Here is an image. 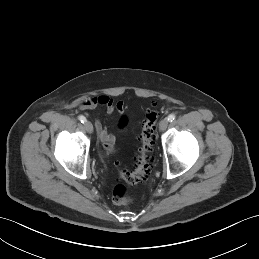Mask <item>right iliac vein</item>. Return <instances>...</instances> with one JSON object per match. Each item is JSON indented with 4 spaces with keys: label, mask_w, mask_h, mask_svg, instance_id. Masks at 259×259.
<instances>
[{
    "label": "right iliac vein",
    "mask_w": 259,
    "mask_h": 259,
    "mask_svg": "<svg viewBox=\"0 0 259 259\" xmlns=\"http://www.w3.org/2000/svg\"><path fill=\"white\" fill-rule=\"evenodd\" d=\"M84 125H85V129L88 133H90V134L93 133V125L91 124V122L86 121Z\"/></svg>",
    "instance_id": "obj_1"
}]
</instances>
